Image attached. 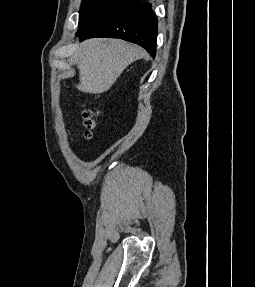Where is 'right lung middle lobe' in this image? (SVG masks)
Returning <instances> with one entry per match:
<instances>
[{"label":"right lung middle lobe","mask_w":255,"mask_h":287,"mask_svg":"<svg viewBox=\"0 0 255 287\" xmlns=\"http://www.w3.org/2000/svg\"><path fill=\"white\" fill-rule=\"evenodd\" d=\"M129 4H133L131 0H82L77 33L86 31L94 24Z\"/></svg>","instance_id":"obj_1"}]
</instances>
